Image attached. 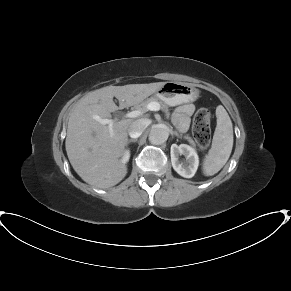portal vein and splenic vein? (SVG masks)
Segmentation results:
<instances>
[{"label": "portal vein and splenic vein", "mask_w": 291, "mask_h": 291, "mask_svg": "<svg viewBox=\"0 0 291 291\" xmlns=\"http://www.w3.org/2000/svg\"><path fill=\"white\" fill-rule=\"evenodd\" d=\"M160 108H161V106L158 102H151L146 106V109L150 110V111H159ZM144 112L145 111H142V110H134V111L128 112L124 117L125 118H137L140 115H142ZM94 119L103 125H108L109 132L111 135H113V124H114L115 120L109 119V118H100L99 116H95Z\"/></svg>", "instance_id": "portal-vein-and-splenic-vein-1"}]
</instances>
